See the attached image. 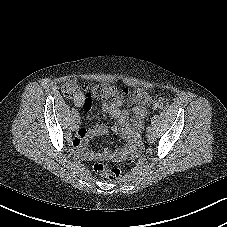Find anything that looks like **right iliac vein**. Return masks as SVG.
Segmentation results:
<instances>
[{
    "label": "right iliac vein",
    "mask_w": 227,
    "mask_h": 227,
    "mask_svg": "<svg viewBox=\"0 0 227 227\" xmlns=\"http://www.w3.org/2000/svg\"><path fill=\"white\" fill-rule=\"evenodd\" d=\"M79 127V120H76L75 122L72 123L71 129L76 130Z\"/></svg>",
    "instance_id": "1"
}]
</instances>
